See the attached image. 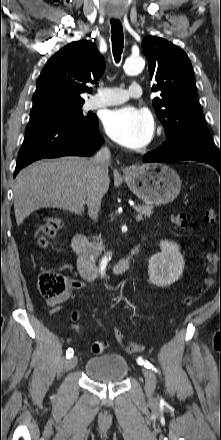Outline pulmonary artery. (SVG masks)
Here are the masks:
<instances>
[{
  "label": "pulmonary artery",
  "mask_w": 221,
  "mask_h": 440,
  "mask_svg": "<svg viewBox=\"0 0 221 440\" xmlns=\"http://www.w3.org/2000/svg\"><path fill=\"white\" fill-rule=\"evenodd\" d=\"M142 93V87L138 83H132L128 89L104 87L99 89L97 95L86 102V109L93 110L121 104L128 101L130 98L141 97Z\"/></svg>",
  "instance_id": "e3ab8cb5"
}]
</instances>
